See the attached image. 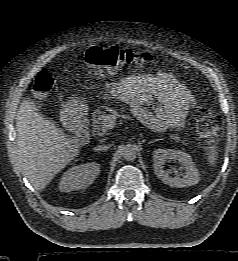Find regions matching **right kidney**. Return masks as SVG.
<instances>
[{"label": "right kidney", "instance_id": "obj_1", "mask_svg": "<svg viewBox=\"0 0 238 261\" xmlns=\"http://www.w3.org/2000/svg\"><path fill=\"white\" fill-rule=\"evenodd\" d=\"M100 173V165L95 162L74 166L62 176L59 189L62 192L85 189Z\"/></svg>", "mask_w": 238, "mask_h": 261}]
</instances>
